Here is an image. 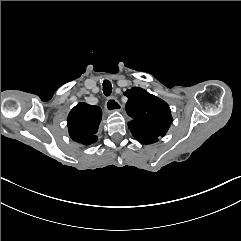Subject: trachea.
<instances>
[{
	"label": "trachea",
	"mask_w": 241,
	"mask_h": 241,
	"mask_svg": "<svg viewBox=\"0 0 241 241\" xmlns=\"http://www.w3.org/2000/svg\"><path fill=\"white\" fill-rule=\"evenodd\" d=\"M103 92L106 96L112 93V85L109 80H103Z\"/></svg>",
	"instance_id": "trachea-1"
}]
</instances>
